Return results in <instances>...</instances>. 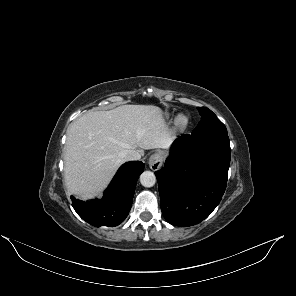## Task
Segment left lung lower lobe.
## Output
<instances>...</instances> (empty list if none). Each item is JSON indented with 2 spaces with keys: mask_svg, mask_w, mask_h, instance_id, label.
<instances>
[{
  "mask_svg": "<svg viewBox=\"0 0 296 296\" xmlns=\"http://www.w3.org/2000/svg\"><path fill=\"white\" fill-rule=\"evenodd\" d=\"M231 148L227 132L182 135L155 172L165 219L188 227L207 218L227 184Z\"/></svg>",
  "mask_w": 296,
  "mask_h": 296,
  "instance_id": "1",
  "label": "left lung lower lobe"
}]
</instances>
